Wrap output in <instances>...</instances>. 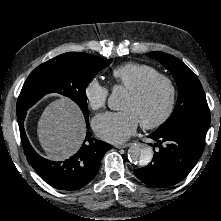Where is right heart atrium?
<instances>
[{
	"label": "right heart atrium",
	"instance_id": "d8ad5b80",
	"mask_svg": "<svg viewBox=\"0 0 221 221\" xmlns=\"http://www.w3.org/2000/svg\"><path fill=\"white\" fill-rule=\"evenodd\" d=\"M108 94V88L96 78L89 80L84 89L87 104L94 111H100L105 108Z\"/></svg>",
	"mask_w": 221,
	"mask_h": 221
}]
</instances>
